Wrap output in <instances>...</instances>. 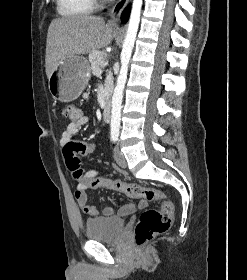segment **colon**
I'll return each instance as SVG.
<instances>
[{"instance_id": "obj_1", "label": "colon", "mask_w": 247, "mask_h": 280, "mask_svg": "<svg viewBox=\"0 0 247 280\" xmlns=\"http://www.w3.org/2000/svg\"><path fill=\"white\" fill-rule=\"evenodd\" d=\"M64 118L70 123H75L80 117L78 109L74 106H65L62 110ZM96 150V145L90 142L70 141L64 147V158L68 170L75 180H82L81 185L86 191L94 188H106L120 191L129 198H142L145 201L160 200L159 209L150 208L143 211L135 226V241L137 245H144L155 236L165 233L172 224L173 203L160 189L143 187L137 183H125L119 180H110L108 176H89L81 168L79 155H89Z\"/></svg>"}]
</instances>
